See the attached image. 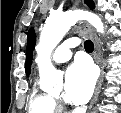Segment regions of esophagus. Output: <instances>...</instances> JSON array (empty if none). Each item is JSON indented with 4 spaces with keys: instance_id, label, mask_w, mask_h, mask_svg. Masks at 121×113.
Returning a JSON list of instances; mask_svg holds the SVG:
<instances>
[{
    "instance_id": "esophagus-1",
    "label": "esophagus",
    "mask_w": 121,
    "mask_h": 113,
    "mask_svg": "<svg viewBox=\"0 0 121 113\" xmlns=\"http://www.w3.org/2000/svg\"><path fill=\"white\" fill-rule=\"evenodd\" d=\"M84 27L88 29L90 36L93 40L94 59H95V62L99 65V67L101 69V74H100L99 80L97 82L93 98H92L90 105H89V109H91L93 107L94 103L96 102L98 95L100 93V89H101V85H102L103 77H104V69H103V64H102V56H101V52H100V45H99L98 37L87 23L84 24Z\"/></svg>"
}]
</instances>
